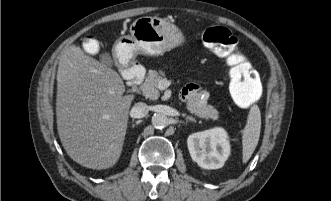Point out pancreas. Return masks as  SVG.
<instances>
[{
  "label": "pancreas",
  "mask_w": 331,
  "mask_h": 201,
  "mask_svg": "<svg viewBox=\"0 0 331 201\" xmlns=\"http://www.w3.org/2000/svg\"><path fill=\"white\" fill-rule=\"evenodd\" d=\"M162 77L156 71H149L147 78L140 86L142 94L151 100L158 99L160 93L158 83ZM204 95V96H203ZM209 93L206 91L195 92L188 97L187 110L191 114H195L199 118L216 120L219 117V112L216 108L208 105L207 99Z\"/></svg>",
  "instance_id": "1"
}]
</instances>
